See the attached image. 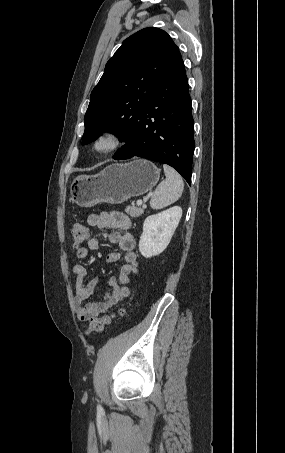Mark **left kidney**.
<instances>
[{
    "label": "left kidney",
    "instance_id": "5707ae66",
    "mask_svg": "<svg viewBox=\"0 0 285 453\" xmlns=\"http://www.w3.org/2000/svg\"><path fill=\"white\" fill-rule=\"evenodd\" d=\"M182 216V208L174 206L148 216L143 223L139 251L145 258L161 254L168 246Z\"/></svg>",
    "mask_w": 285,
    "mask_h": 453
}]
</instances>
